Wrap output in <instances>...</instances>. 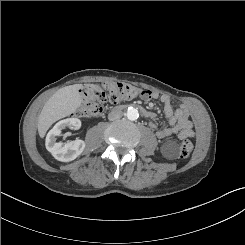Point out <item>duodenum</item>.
Instances as JSON below:
<instances>
[{"mask_svg": "<svg viewBox=\"0 0 245 245\" xmlns=\"http://www.w3.org/2000/svg\"><path fill=\"white\" fill-rule=\"evenodd\" d=\"M133 107L137 108L138 110H140V112L145 116L150 118L152 116V113L150 111H148L147 109H145L143 106L139 105V104H133Z\"/></svg>", "mask_w": 245, "mask_h": 245, "instance_id": "1", "label": "duodenum"}]
</instances>
